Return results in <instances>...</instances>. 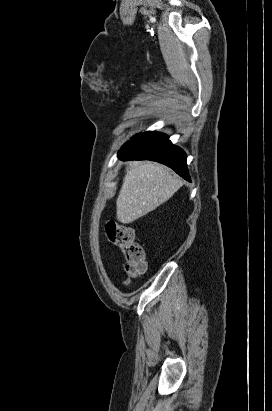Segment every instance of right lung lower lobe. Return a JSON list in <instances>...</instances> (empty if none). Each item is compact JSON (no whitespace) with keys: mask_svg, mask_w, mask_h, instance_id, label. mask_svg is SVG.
<instances>
[{"mask_svg":"<svg viewBox=\"0 0 272 411\" xmlns=\"http://www.w3.org/2000/svg\"><path fill=\"white\" fill-rule=\"evenodd\" d=\"M119 157L123 160H152L165 164L190 181L185 152L162 133L144 132L135 136L122 146Z\"/></svg>","mask_w":272,"mask_h":411,"instance_id":"right-lung-lower-lobe-1","label":"right lung lower lobe"}]
</instances>
